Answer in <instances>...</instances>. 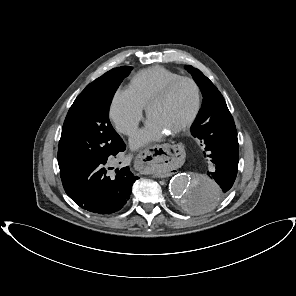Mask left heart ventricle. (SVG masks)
<instances>
[{"mask_svg":"<svg viewBox=\"0 0 296 296\" xmlns=\"http://www.w3.org/2000/svg\"><path fill=\"white\" fill-rule=\"evenodd\" d=\"M195 103L196 93L193 86L182 83L167 100L153 107L149 118L170 133L189 118Z\"/></svg>","mask_w":296,"mask_h":296,"instance_id":"1","label":"left heart ventricle"}]
</instances>
